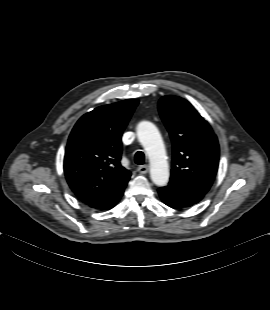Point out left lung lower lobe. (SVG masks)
I'll return each mask as SVG.
<instances>
[{
    "label": "left lung lower lobe",
    "mask_w": 270,
    "mask_h": 310,
    "mask_svg": "<svg viewBox=\"0 0 270 310\" xmlns=\"http://www.w3.org/2000/svg\"><path fill=\"white\" fill-rule=\"evenodd\" d=\"M209 189L192 187L179 184L175 181L169 182L166 187L158 189L162 201L171 208L190 207L205 196Z\"/></svg>",
    "instance_id": "left-lung-lower-lobe-1"
}]
</instances>
